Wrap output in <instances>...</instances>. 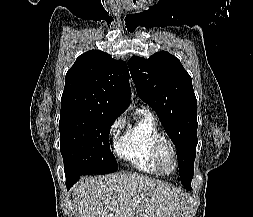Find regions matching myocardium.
<instances>
[{
  "label": "myocardium",
  "instance_id": "myocardium-1",
  "mask_svg": "<svg viewBox=\"0 0 253 217\" xmlns=\"http://www.w3.org/2000/svg\"><path fill=\"white\" fill-rule=\"evenodd\" d=\"M165 149H168L173 158V169L171 171H167L164 168L163 161H162V153ZM152 153L154 160L160 170V172L164 175H171L178 169V155L177 150L174 144L167 138L161 137L156 140L152 147Z\"/></svg>",
  "mask_w": 253,
  "mask_h": 217
}]
</instances>
